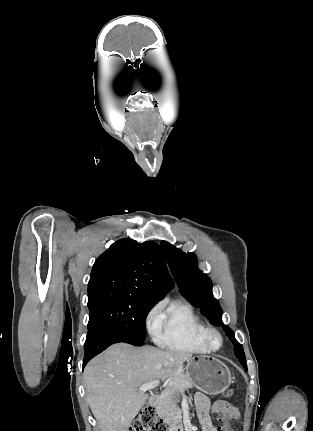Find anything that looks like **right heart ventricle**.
<instances>
[{"label": "right heart ventricle", "instance_id": "right-heart-ventricle-1", "mask_svg": "<svg viewBox=\"0 0 313 431\" xmlns=\"http://www.w3.org/2000/svg\"><path fill=\"white\" fill-rule=\"evenodd\" d=\"M206 324L187 302L174 301L161 311V328L157 342L171 350L206 353L209 349L203 341Z\"/></svg>", "mask_w": 313, "mask_h": 431}]
</instances>
